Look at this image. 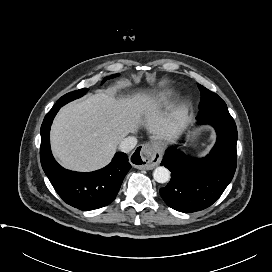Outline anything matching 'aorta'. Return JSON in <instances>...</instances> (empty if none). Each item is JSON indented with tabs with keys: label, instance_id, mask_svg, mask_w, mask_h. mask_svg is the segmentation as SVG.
<instances>
[{
	"label": "aorta",
	"instance_id": "1",
	"mask_svg": "<svg viewBox=\"0 0 272 272\" xmlns=\"http://www.w3.org/2000/svg\"><path fill=\"white\" fill-rule=\"evenodd\" d=\"M153 178L158 183H166L170 179V171L163 167H157L153 172Z\"/></svg>",
	"mask_w": 272,
	"mask_h": 272
}]
</instances>
